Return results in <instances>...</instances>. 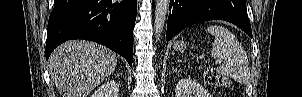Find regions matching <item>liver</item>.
Instances as JSON below:
<instances>
[{
  "instance_id": "liver-1",
  "label": "liver",
  "mask_w": 302,
  "mask_h": 97,
  "mask_svg": "<svg viewBox=\"0 0 302 97\" xmlns=\"http://www.w3.org/2000/svg\"><path fill=\"white\" fill-rule=\"evenodd\" d=\"M116 66V53L90 41H67L49 58L51 77L62 97H88Z\"/></svg>"
}]
</instances>
